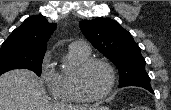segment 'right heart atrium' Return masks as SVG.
<instances>
[{"label":"right heart atrium","mask_w":171,"mask_h":110,"mask_svg":"<svg viewBox=\"0 0 171 110\" xmlns=\"http://www.w3.org/2000/svg\"><path fill=\"white\" fill-rule=\"evenodd\" d=\"M56 72L55 70L52 68L51 66V62H50V54L47 53L43 60H42V64H41V80L46 84L49 85L53 79L55 78Z\"/></svg>","instance_id":"right-heart-atrium-1"}]
</instances>
